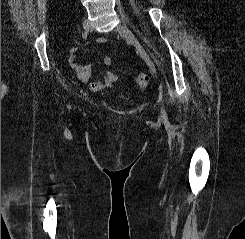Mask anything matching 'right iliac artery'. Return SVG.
I'll list each match as a JSON object with an SVG mask.
<instances>
[{"label":"right iliac artery","mask_w":245,"mask_h":239,"mask_svg":"<svg viewBox=\"0 0 245 239\" xmlns=\"http://www.w3.org/2000/svg\"><path fill=\"white\" fill-rule=\"evenodd\" d=\"M88 34H89V30L83 32V33H82L83 39H87Z\"/></svg>","instance_id":"right-iliac-artery-1"}]
</instances>
